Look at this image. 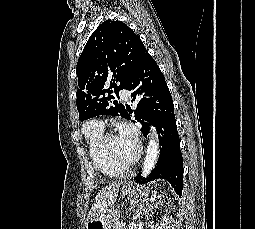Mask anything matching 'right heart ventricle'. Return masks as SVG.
Listing matches in <instances>:
<instances>
[{"mask_svg": "<svg viewBox=\"0 0 255 229\" xmlns=\"http://www.w3.org/2000/svg\"><path fill=\"white\" fill-rule=\"evenodd\" d=\"M84 134L88 155L94 167L107 177H115L123 173L122 170L112 166L99 150V142L103 135V128L93 126L91 121H89L84 125Z\"/></svg>", "mask_w": 255, "mask_h": 229, "instance_id": "e07e8e85", "label": "right heart ventricle"}]
</instances>
